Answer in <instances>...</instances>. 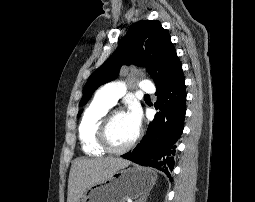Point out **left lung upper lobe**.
I'll return each mask as SVG.
<instances>
[{"instance_id": "obj_1", "label": "left lung upper lobe", "mask_w": 255, "mask_h": 202, "mask_svg": "<svg viewBox=\"0 0 255 202\" xmlns=\"http://www.w3.org/2000/svg\"><path fill=\"white\" fill-rule=\"evenodd\" d=\"M130 64L146 65L156 89L165 88L183 72L168 32L158 21H139L129 28L109 59L89 77L80 106L87 103L100 85L116 79L121 66Z\"/></svg>"}]
</instances>
